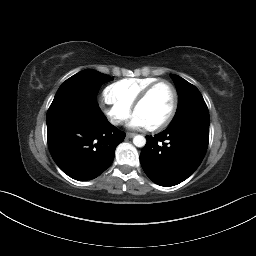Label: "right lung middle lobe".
<instances>
[{
  "label": "right lung middle lobe",
  "mask_w": 256,
  "mask_h": 256,
  "mask_svg": "<svg viewBox=\"0 0 256 256\" xmlns=\"http://www.w3.org/2000/svg\"><path fill=\"white\" fill-rule=\"evenodd\" d=\"M111 80L113 78L92 69H86L73 75L62 83L47 114L58 109L85 106L88 101V91L85 87L90 85L92 94L96 97L102 84Z\"/></svg>",
  "instance_id": "obj_1"
}]
</instances>
